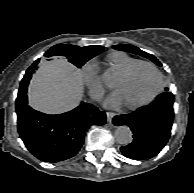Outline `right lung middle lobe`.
<instances>
[{
  "instance_id": "right-lung-middle-lobe-1",
  "label": "right lung middle lobe",
  "mask_w": 194,
  "mask_h": 193,
  "mask_svg": "<svg viewBox=\"0 0 194 193\" xmlns=\"http://www.w3.org/2000/svg\"><path fill=\"white\" fill-rule=\"evenodd\" d=\"M54 51L61 56L67 57L69 62H71L77 67H81L88 60H90L91 58H93L94 56L100 53V52H82L79 50L64 47L63 45L54 47ZM25 89H27V87L24 88L22 86V81H21L19 92H22Z\"/></svg>"
}]
</instances>
